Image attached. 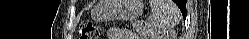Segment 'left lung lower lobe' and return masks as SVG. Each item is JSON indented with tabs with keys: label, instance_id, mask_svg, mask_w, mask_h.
Listing matches in <instances>:
<instances>
[{
	"label": "left lung lower lobe",
	"instance_id": "0a47b994",
	"mask_svg": "<svg viewBox=\"0 0 249 39\" xmlns=\"http://www.w3.org/2000/svg\"><path fill=\"white\" fill-rule=\"evenodd\" d=\"M175 3L178 5V7L180 8L183 16L186 15V8H185V5H186V1L185 0H175ZM182 6V7H181Z\"/></svg>",
	"mask_w": 249,
	"mask_h": 39
}]
</instances>
